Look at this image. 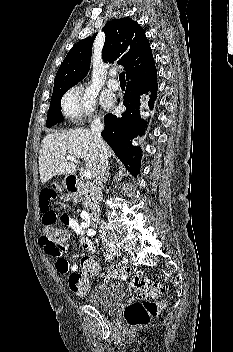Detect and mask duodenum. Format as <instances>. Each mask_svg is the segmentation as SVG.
I'll return each instance as SVG.
<instances>
[{
    "mask_svg": "<svg viewBox=\"0 0 233 352\" xmlns=\"http://www.w3.org/2000/svg\"><path fill=\"white\" fill-rule=\"evenodd\" d=\"M67 189L72 194H85L88 198L87 216L90 222H93L98 214V204L95 199V187L88 184H82L76 176H69L67 179Z\"/></svg>",
    "mask_w": 233,
    "mask_h": 352,
    "instance_id": "obj_1",
    "label": "duodenum"
}]
</instances>
